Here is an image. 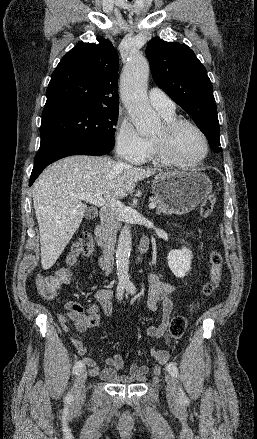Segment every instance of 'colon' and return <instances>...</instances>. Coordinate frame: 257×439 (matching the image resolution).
<instances>
[{"label": "colon", "instance_id": "obj_1", "mask_svg": "<svg viewBox=\"0 0 257 439\" xmlns=\"http://www.w3.org/2000/svg\"><path fill=\"white\" fill-rule=\"evenodd\" d=\"M216 203L214 195L207 196L200 205V215L207 218L211 215ZM93 251L92 237L88 233L80 235L79 240L72 246L66 259V266L59 269L52 276H37L35 279L38 292L45 298L53 297L57 294L62 285L69 282L71 274L69 267L73 265L79 257L89 256ZM209 280L205 284L203 294L211 295L218 287L222 277L223 257L218 250H212L209 255ZM188 320L184 316H175L171 319L165 334L164 340L180 338L186 331Z\"/></svg>", "mask_w": 257, "mask_h": 439}]
</instances>
